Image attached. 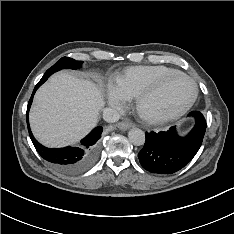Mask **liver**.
Masks as SVG:
<instances>
[{
	"mask_svg": "<svg viewBox=\"0 0 234 234\" xmlns=\"http://www.w3.org/2000/svg\"><path fill=\"white\" fill-rule=\"evenodd\" d=\"M103 106L101 90L95 83L56 73L34 96L29 114L31 130L47 147L70 145L96 126Z\"/></svg>",
	"mask_w": 234,
	"mask_h": 234,
	"instance_id": "1",
	"label": "liver"
}]
</instances>
